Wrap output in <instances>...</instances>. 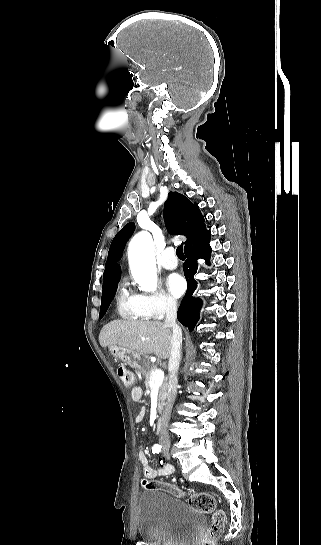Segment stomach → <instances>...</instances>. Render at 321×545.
<instances>
[{"mask_svg":"<svg viewBox=\"0 0 321 545\" xmlns=\"http://www.w3.org/2000/svg\"><path fill=\"white\" fill-rule=\"evenodd\" d=\"M109 351L115 359H119L122 363H127L129 367L138 371V373H146L150 367V359L148 355H139L131 349L118 347V345H109Z\"/></svg>","mask_w":321,"mask_h":545,"instance_id":"obj_1","label":"stomach"}]
</instances>
